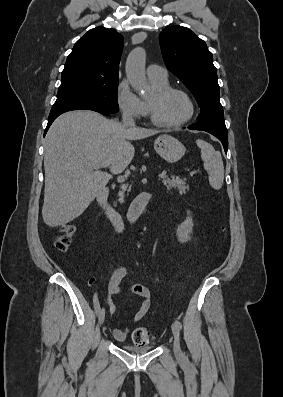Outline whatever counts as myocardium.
<instances>
[{
  "mask_svg": "<svg viewBox=\"0 0 283 397\" xmlns=\"http://www.w3.org/2000/svg\"><path fill=\"white\" fill-rule=\"evenodd\" d=\"M172 93H180L187 98L190 104V113L185 119L181 121L168 123L162 121L159 118L158 106L167 96H169ZM148 110H149L150 119L154 125L161 128H178L188 123L194 117L196 111V105L192 96L187 91L178 87L168 86L166 88L157 90L154 93L153 97L148 100Z\"/></svg>",
  "mask_w": 283,
  "mask_h": 397,
  "instance_id": "f54148a6",
  "label": "myocardium"
}]
</instances>
